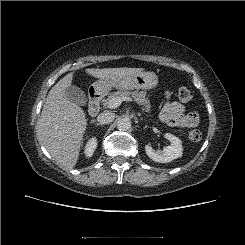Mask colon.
<instances>
[{
  "label": "colon",
  "mask_w": 245,
  "mask_h": 245,
  "mask_svg": "<svg viewBox=\"0 0 245 245\" xmlns=\"http://www.w3.org/2000/svg\"><path fill=\"white\" fill-rule=\"evenodd\" d=\"M178 98L181 102H189L192 98V92L190 91V89H188L187 87H181L178 90ZM202 138V133L201 131L194 129L191 130L189 133V139L193 142H198L200 141Z\"/></svg>",
  "instance_id": "1"
}]
</instances>
